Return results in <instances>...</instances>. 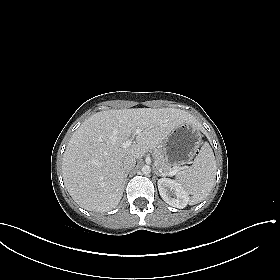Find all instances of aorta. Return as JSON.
<instances>
[{
    "instance_id": "aorta-1",
    "label": "aorta",
    "mask_w": 280,
    "mask_h": 280,
    "mask_svg": "<svg viewBox=\"0 0 280 280\" xmlns=\"http://www.w3.org/2000/svg\"><path fill=\"white\" fill-rule=\"evenodd\" d=\"M141 171H142L143 174L147 175L151 172V168H150V166L145 165V166L142 167Z\"/></svg>"
}]
</instances>
